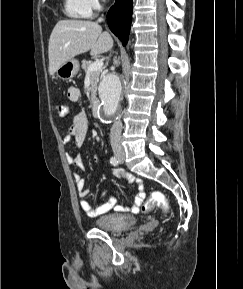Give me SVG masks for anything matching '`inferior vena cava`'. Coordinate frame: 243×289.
<instances>
[{"label": "inferior vena cava", "instance_id": "602c4592", "mask_svg": "<svg viewBox=\"0 0 243 289\" xmlns=\"http://www.w3.org/2000/svg\"><path fill=\"white\" fill-rule=\"evenodd\" d=\"M98 21L101 22L102 18H100ZM121 131H122V122L120 120L114 121L110 129V143L112 150L115 154L124 152V149L121 144Z\"/></svg>", "mask_w": 243, "mask_h": 289}]
</instances>
